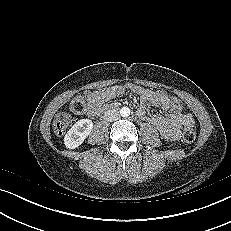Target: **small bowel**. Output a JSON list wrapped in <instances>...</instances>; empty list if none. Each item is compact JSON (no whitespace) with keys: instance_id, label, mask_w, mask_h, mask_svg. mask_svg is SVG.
Returning a JSON list of instances; mask_svg holds the SVG:
<instances>
[{"instance_id":"1","label":"small bowel","mask_w":231,"mask_h":231,"mask_svg":"<svg viewBox=\"0 0 231 231\" xmlns=\"http://www.w3.org/2000/svg\"><path fill=\"white\" fill-rule=\"evenodd\" d=\"M128 90L139 94L141 97L140 106L137 109L138 117L152 123L164 139L176 141L180 138L182 127L194 125L192 114L174 109L167 94L162 91L150 90L133 84L115 85L103 90L87 92L88 115L91 117L97 116L107 107L105 104L106 101L123 95ZM150 107H160L168 110L169 113L165 117L159 114L150 115L148 113Z\"/></svg>"}]
</instances>
